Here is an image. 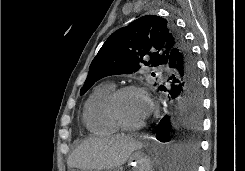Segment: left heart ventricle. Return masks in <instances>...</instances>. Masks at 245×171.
<instances>
[{"label":"left heart ventricle","mask_w":245,"mask_h":171,"mask_svg":"<svg viewBox=\"0 0 245 171\" xmlns=\"http://www.w3.org/2000/svg\"><path fill=\"white\" fill-rule=\"evenodd\" d=\"M118 110L125 123L138 124L146 117L147 100L139 93H126L119 100Z\"/></svg>","instance_id":"1"}]
</instances>
